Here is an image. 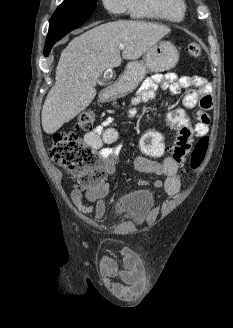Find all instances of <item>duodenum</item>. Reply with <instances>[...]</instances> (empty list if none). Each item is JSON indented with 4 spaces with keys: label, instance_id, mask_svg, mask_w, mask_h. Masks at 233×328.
I'll use <instances>...</instances> for the list:
<instances>
[{
    "label": "duodenum",
    "instance_id": "duodenum-1",
    "mask_svg": "<svg viewBox=\"0 0 233 328\" xmlns=\"http://www.w3.org/2000/svg\"><path fill=\"white\" fill-rule=\"evenodd\" d=\"M112 95H113V92L111 91V89H105V91L103 93L104 99H109Z\"/></svg>",
    "mask_w": 233,
    "mask_h": 328
}]
</instances>
